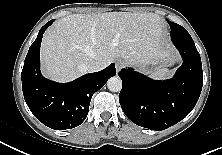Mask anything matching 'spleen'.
<instances>
[{
  "label": "spleen",
  "mask_w": 222,
  "mask_h": 155,
  "mask_svg": "<svg viewBox=\"0 0 222 155\" xmlns=\"http://www.w3.org/2000/svg\"><path fill=\"white\" fill-rule=\"evenodd\" d=\"M170 70L169 69H161L155 73L152 74L153 77L158 78V79H163L165 77L170 76Z\"/></svg>",
  "instance_id": "1"
}]
</instances>
